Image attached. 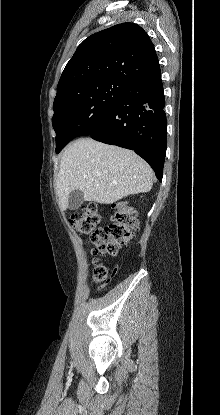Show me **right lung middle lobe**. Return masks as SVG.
<instances>
[{
    "label": "right lung middle lobe",
    "mask_w": 220,
    "mask_h": 415,
    "mask_svg": "<svg viewBox=\"0 0 220 415\" xmlns=\"http://www.w3.org/2000/svg\"><path fill=\"white\" fill-rule=\"evenodd\" d=\"M131 87L123 80L102 79L77 83L57 93L52 120L56 153L73 138L97 131L108 111Z\"/></svg>",
    "instance_id": "dd1d6c3e"
}]
</instances>
